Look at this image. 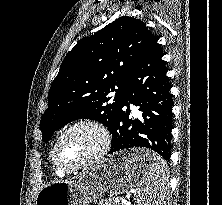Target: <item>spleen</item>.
Listing matches in <instances>:
<instances>
[{"instance_id":"3e777b00","label":"spleen","mask_w":222,"mask_h":205,"mask_svg":"<svg viewBox=\"0 0 222 205\" xmlns=\"http://www.w3.org/2000/svg\"><path fill=\"white\" fill-rule=\"evenodd\" d=\"M146 170L141 188L135 194L138 205H165L168 169L165 160L156 154L145 159Z\"/></svg>"}]
</instances>
